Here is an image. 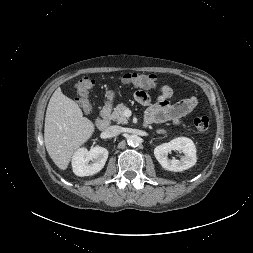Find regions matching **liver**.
<instances>
[{
  "mask_svg": "<svg viewBox=\"0 0 253 253\" xmlns=\"http://www.w3.org/2000/svg\"><path fill=\"white\" fill-rule=\"evenodd\" d=\"M95 130L91 120L83 117L78 104L57 88L50 98L44 127L46 150L61 170H65L76 151Z\"/></svg>",
  "mask_w": 253,
  "mask_h": 253,
  "instance_id": "6515ba94",
  "label": "liver"
}]
</instances>
